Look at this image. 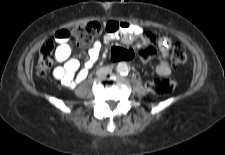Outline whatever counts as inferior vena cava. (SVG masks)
Returning a JSON list of instances; mask_svg holds the SVG:
<instances>
[{
	"instance_id": "inferior-vena-cava-1",
	"label": "inferior vena cava",
	"mask_w": 225,
	"mask_h": 155,
	"mask_svg": "<svg viewBox=\"0 0 225 155\" xmlns=\"http://www.w3.org/2000/svg\"><path fill=\"white\" fill-rule=\"evenodd\" d=\"M111 68L110 67H102L100 68L97 72L102 74V73H108V72H111Z\"/></svg>"
}]
</instances>
